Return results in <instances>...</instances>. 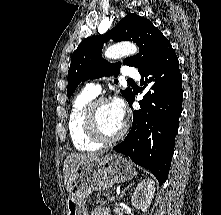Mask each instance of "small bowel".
I'll use <instances>...</instances> for the list:
<instances>
[{
    "mask_svg": "<svg viewBox=\"0 0 221 215\" xmlns=\"http://www.w3.org/2000/svg\"><path fill=\"white\" fill-rule=\"evenodd\" d=\"M92 215H107V211L103 208L96 209Z\"/></svg>",
    "mask_w": 221,
    "mask_h": 215,
    "instance_id": "1",
    "label": "small bowel"
}]
</instances>
